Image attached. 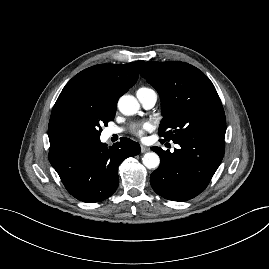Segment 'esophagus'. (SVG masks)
<instances>
[{"label": "esophagus", "instance_id": "esophagus-1", "mask_svg": "<svg viewBox=\"0 0 269 269\" xmlns=\"http://www.w3.org/2000/svg\"><path fill=\"white\" fill-rule=\"evenodd\" d=\"M141 152L142 153H145V152H147V151H149L150 149H149V147H147V146H144V145H141Z\"/></svg>", "mask_w": 269, "mask_h": 269}]
</instances>
